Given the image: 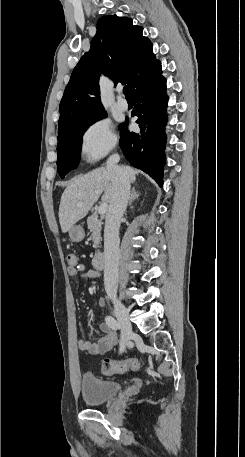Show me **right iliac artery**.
I'll list each match as a JSON object with an SVG mask.
<instances>
[{"mask_svg":"<svg viewBox=\"0 0 245 457\" xmlns=\"http://www.w3.org/2000/svg\"><path fill=\"white\" fill-rule=\"evenodd\" d=\"M105 321H106V324L113 330H118L119 328V323L117 322V320L112 317V316H107L105 318Z\"/></svg>","mask_w":245,"mask_h":457,"instance_id":"82829eb1","label":"right iliac artery"}]
</instances>
